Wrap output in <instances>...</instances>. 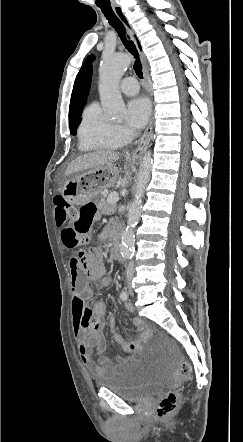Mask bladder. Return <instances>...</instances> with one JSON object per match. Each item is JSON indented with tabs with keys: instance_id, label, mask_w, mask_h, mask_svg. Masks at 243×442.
Returning <instances> with one entry per match:
<instances>
[{
	"instance_id": "bladder-1",
	"label": "bladder",
	"mask_w": 243,
	"mask_h": 442,
	"mask_svg": "<svg viewBox=\"0 0 243 442\" xmlns=\"http://www.w3.org/2000/svg\"><path fill=\"white\" fill-rule=\"evenodd\" d=\"M172 376L155 368V360L129 358L125 363L98 379L96 385L106 388L127 401H143L159 393Z\"/></svg>"
}]
</instances>
